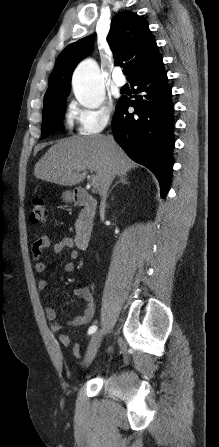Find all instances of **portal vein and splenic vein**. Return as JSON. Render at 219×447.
Wrapping results in <instances>:
<instances>
[{"instance_id": "portal-vein-and-splenic-vein-1", "label": "portal vein and splenic vein", "mask_w": 219, "mask_h": 447, "mask_svg": "<svg viewBox=\"0 0 219 447\" xmlns=\"http://www.w3.org/2000/svg\"><path fill=\"white\" fill-rule=\"evenodd\" d=\"M91 185H92L93 188H97L98 187V183H97L96 179L92 178Z\"/></svg>"}]
</instances>
